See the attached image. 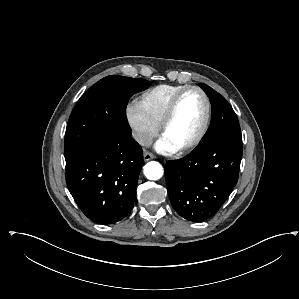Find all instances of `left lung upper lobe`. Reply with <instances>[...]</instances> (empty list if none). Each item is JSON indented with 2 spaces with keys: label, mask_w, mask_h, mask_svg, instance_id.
I'll return each instance as SVG.
<instances>
[{
  "label": "left lung upper lobe",
  "mask_w": 299,
  "mask_h": 299,
  "mask_svg": "<svg viewBox=\"0 0 299 299\" xmlns=\"http://www.w3.org/2000/svg\"><path fill=\"white\" fill-rule=\"evenodd\" d=\"M199 86L206 92L212 105L211 123L200 144L217 138L242 141L240 125L230 104L208 85L200 83Z\"/></svg>",
  "instance_id": "left-lung-upper-lobe-1"
}]
</instances>
